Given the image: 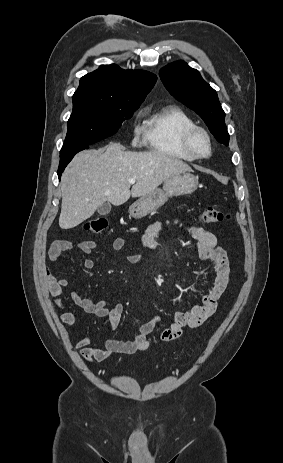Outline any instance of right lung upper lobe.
<instances>
[{
  "label": "right lung upper lobe",
  "mask_w": 283,
  "mask_h": 463,
  "mask_svg": "<svg viewBox=\"0 0 283 463\" xmlns=\"http://www.w3.org/2000/svg\"><path fill=\"white\" fill-rule=\"evenodd\" d=\"M156 80V75L147 71L123 70L114 64L101 65L80 79L74 95L142 103Z\"/></svg>",
  "instance_id": "1"
}]
</instances>
